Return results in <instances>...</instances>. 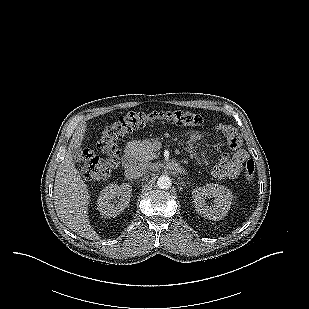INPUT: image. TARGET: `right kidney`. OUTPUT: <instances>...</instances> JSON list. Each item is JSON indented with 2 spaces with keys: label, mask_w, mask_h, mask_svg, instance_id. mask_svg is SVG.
<instances>
[{
  "label": "right kidney",
  "mask_w": 309,
  "mask_h": 309,
  "mask_svg": "<svg viewBox=\"0 0 309 309\" xmlns=\"http://www.w3.org/2000/svg\"><path fill=\"white\" fill-rule=\"evenodd\" d=\"M132 186L123 183L118 186L117 184H110L106 186L101 192L97 200L98 210L105 216L116 217L119 215L130 202ZM120 197L117 204L112 203V200Z\"/></svg>",
  "instance_id": "right-kidney-1"
}]
</instances>
